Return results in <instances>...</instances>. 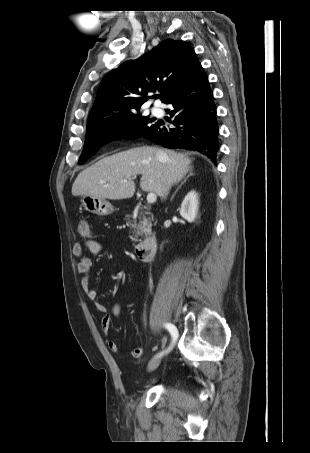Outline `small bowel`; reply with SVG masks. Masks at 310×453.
Listing matches in <instances>:
<instances>
[{"label": "small bowel", "instance_id": "1", "mask_svg": "<svg viewBox=\"0 0 310 453\" xmlns=\"http://www.w3.org/2000/svg\"><path fill=\"white\" fill-rule=\"evenodd\" d=\"M87 249L93 254L96 255L101 251V245L99 242L93 239H87L85 242ZM72 253L75 257L79 259L77 264L78 274L81 276L80 285L88 299L95 302L96 310L101 314L100 324L102 331L107 334L110 330L111 322L113 317H119L121 313V306L119 303H115L112 306L111 313L107 312V309L104 304L97 301V291L91 287L89 273L92 267L91 259L83 255V246L80 243H75L72 248ZM108 348L113 353L119 352V346L115 341H108ZM143 354L141 347H136L132 351V356L134 358H140Z\"/></svg>", "mask_w": 310, "mask_h": 453}]
</instances>
